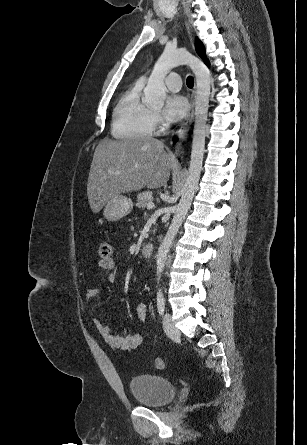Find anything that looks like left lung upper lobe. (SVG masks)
<instances>
[{"instance_id": "1", "label": "left lung upper lobe", "mask_w": 307, "mask_h": 445, "mask_svg": "<svg viewBox=\"0 0 307 445\" xmlns=\"http://www.w3.org/2000/svg\"><path fill=\"white\" fill-rule=\"evenodd\" d=\"M195 47H196L197 53L200 55L201 58L204 59V62L206 64L209 63L208 60L206 59V56H205L204 46H203V44L201 43V41L199 39H196Z\"/></svg>"}]
</instances>
